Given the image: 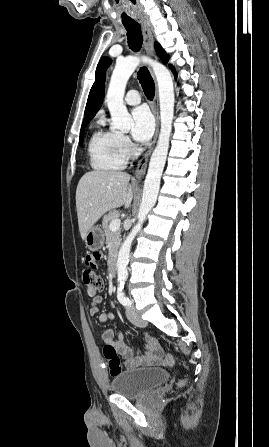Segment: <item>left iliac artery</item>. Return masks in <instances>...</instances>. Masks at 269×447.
<instances>
[{
  "label": "left iliac artery",
  "instance_id": "obj_1",
  "mask_svg": "<svg viewBox=\"0 0 269 447\" xmlns=\"http://www.w3.org/2000/svg\"><path fill=\"white\" fill-rule=\"evenodd\" d=\"M123 289H124V283H120L118 286L117 298L123 306H131L132 303L129 300V298L126 297Z\"/></svg>",
  "mask_w": 269,
  "mask_h": 447
}]
</instances>
